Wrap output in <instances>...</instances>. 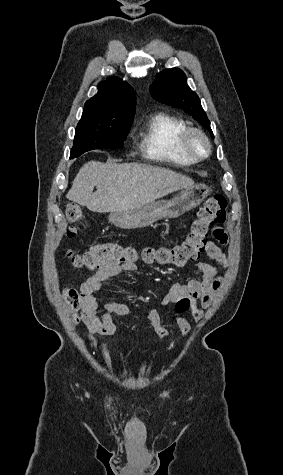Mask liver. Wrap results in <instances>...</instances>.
<instances>
[{"mask_svg": "<svg viewBox=\"0 0 283 475\" xmlns=\"http://www.w3.org/2000/svg\"><path fill=\"white\" fill-rule=\"evenodd\" d=\"M94 186L97 192L93 194ZM190 186H194L191 178L167 168L135 162H87L80 168L66 198L79 206H87L91 212H125Z\"/></svg>", "mask_w": 283, "mask_h": 475, "instance_id": "6515ba94", "label": "liver"}]
</instances>
